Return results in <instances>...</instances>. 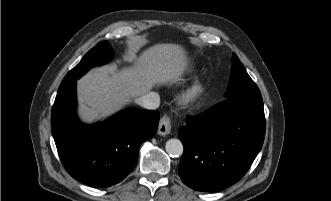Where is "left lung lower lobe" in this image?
<instances>
[{"label":"left lung lower lobe","instance_id":"obj_1","mask_svg":"<svg viewBox=\"0 0 331 201\" xmlns=\"http://www.w3.org/2000/svg\"><path fill=\"white\" fill-rule=\"evenodd\" d=\"M184 146L179 175L190 188L218 191L239 181L265 136L261 94L227 98L178 130Z\"/></svg>","mask_w":331,"mask_h":201}]
</instances>
